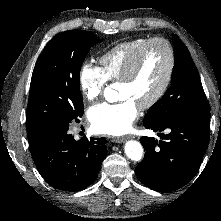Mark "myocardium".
I'll use <instances>...</instances> for the list:
<instances>
[{
    "label": "myocardium",
    "mask_w": 221,
    "mask_h": 221,
    "mask_svg": "<svg viewBox=\"0 0 221 221\" xmlns=\"http://www.w3.org/2000/svg\"><path fill=\"white\" fill-rule=\"evenodd\" d=\"M155 43H160L164 45V47L166 48L168 54V67L164 81L159 87V89L148 101H146L145 103L139 106L142 110H147L154 107L164 97V95L166 94V92L168 91L171 85L175 70V62H176L175 51L171 42L164 37H153L147 39L128 61L123 75L118 80L119 82H124V83L130 82L137 73V70L139 68L145 50L149 46Z\"/></svg>",
    "instance_id": "f54148a6"
}]
</instances>
